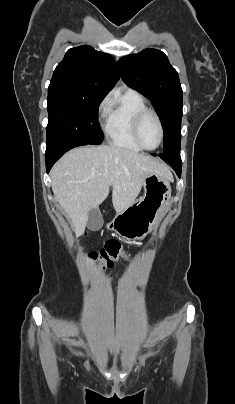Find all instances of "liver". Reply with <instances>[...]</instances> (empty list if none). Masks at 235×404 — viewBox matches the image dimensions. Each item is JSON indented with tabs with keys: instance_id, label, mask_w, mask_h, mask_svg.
<instances>
[{
	"instance_id": "liver-1",
	"label": "liver",
	"mask_w": 235,
	"mask_h": 404,
	"mask_svg": "<svg viewBox=\"0 0 235 404\" xmlns=\"http://www.w3.org/2000/svg\"><path fill=\"white\" fill-rule=\"evenodd\" d=\"M150 174L173 178L166 165L149 156L99 145L72 149L54 165L50 176L54 196L79 236L89 211L108 197L110 187L114 209L122 212L135 202Z\"/></svg>"
}]
</instances>
